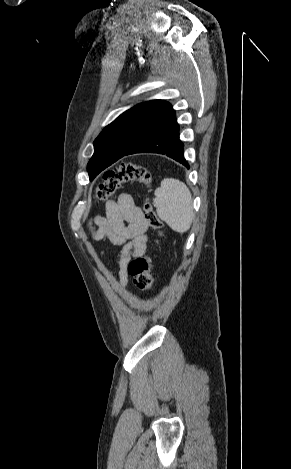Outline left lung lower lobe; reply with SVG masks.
<instances>
[{"mask_svg": "<svg viewBox=\"0 0 291 469\" xmlns=\"http://www.w3.org/2000/svg\"><path fill=\"white\" fill-rule=\"evenodd\" d=\"M183 151V143L179 139V126L174 113L166 122L148 133L116 159L134 153L151 152L165 154L189 168Z\"/></svg>", "mask_w": 291, "mask_h": 469, "instance_id": "1", "label": "left lung lower lobe"}]
</instances>
